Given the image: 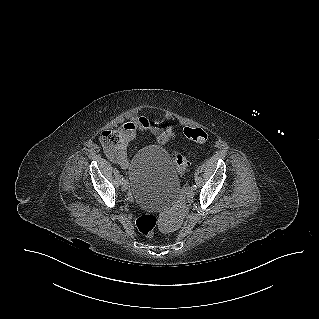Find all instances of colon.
I'll return each mask as SVG.
<instances>
[{
	"mask_svg": "<svg viewBox=\"0 0 319 319\" xmlns=\"http://www.w3.org/2000/svg\"><path fill=\"white\" fill-rule=\"evenodd\" d=\"M178 136L181 139H190L194 143H206L210 139L208 131L197 128L190 121L180 124ZM171 158L176 166L177 172L183 176L189 170V164L186 157L179 152H172ZM158 219L152 214H142L136 219L137 229L146 236H152L157 228Z\"/></svg>",
	"mask_w": 319,
	"mask_h": 319,
	"instance_id": "obj_1",
	"label": "colon"
}]
</instances>
